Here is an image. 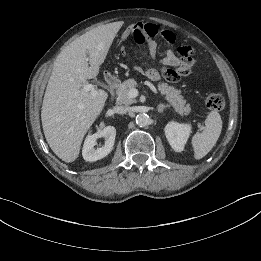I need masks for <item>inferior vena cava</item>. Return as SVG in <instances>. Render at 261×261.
Wrapping results in <instances>:
<instances>
[{"instance_id":"602c4592","label":"inferior vena cava","mask_w":261,"mask_h":261,"mask_svg":"<svg viewBox=\"0 0 261 261\" xmlns=\"http://www.w3.org/2000/svg\"><path fill=\"white\" fill-rule=\"evenodd\" d=\"M114 111L118 114H125L130 111V107L128 106H116L114 107Z\"/></svg>"}]
</instances>
